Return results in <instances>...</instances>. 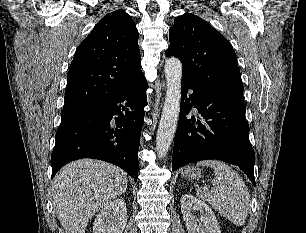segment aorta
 Returning <instances> with one entry per match:
<instances>
[{
	"label": "aorta",
	"instance_id": "1",
	"mask_svg": "<svg viewBox=\"0 0 306 233\" xmlns=\"http://www.w3.org/2000/svg\"><path fill=\"white\" fill-rule=\"evenodd\" d=\"M164 72L167 90L156 136V150L159 158H163L168 152L176 132L181 102V61L176 57L168 58Z\"/></svg>",
	"mask_w": 306,
	"mask_h": 233
}]
</instances>
